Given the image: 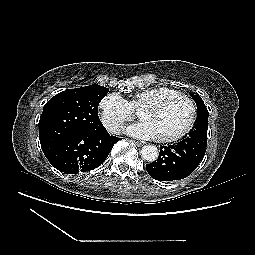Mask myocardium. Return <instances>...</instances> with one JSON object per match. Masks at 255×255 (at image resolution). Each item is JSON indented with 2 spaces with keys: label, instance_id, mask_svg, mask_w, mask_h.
<instances>
[{
  "label": "myocardium",
  "instance_id": "myocardium-1",
  "mask_svg": "<svg viewBox=\"0 0 255 255\" xmlns=\"http://www.w3.org/2000/svg\"><path fill=\"white\" fill-rule=\"evenodd\" d=\"M172 99H180V100L184 101L190 107V111H191L190 119H189L187 125L180 131L173 133L171 135L157 137V140L159 142H173V141H176V140L184 137L193 129V127L196 123V120H197V116H198L197 105L189 96H187L186 94L179 92V91H172L168 94L162 95V96L158 97L156 100L143 106L142 109L159 107L163 103H165L169 100H172Z\"/></svg>",
  "mask_w": 255,
  "mask_h": 255
}]
</instances>
